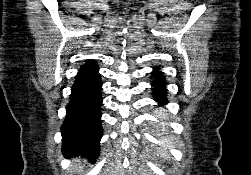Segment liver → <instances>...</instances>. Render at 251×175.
<instances>
[{
	"mask_svg": "<svg viewBox=\"0 0 251 175\" xmlns=\"http://www.w3.org/2000/svg\"><path fill=\"white\" fill-rule=\"evenodd\" d=\"M74 161H80V159H74ZM75 167H80V169H81V167H83V165H80V163H79V165H75Z\"/></svg>",
	"mask_w": 251,
	"mask_h": 175,
	"instance_id": "obj_1",
	"label": "liver"
}]
</instances>
